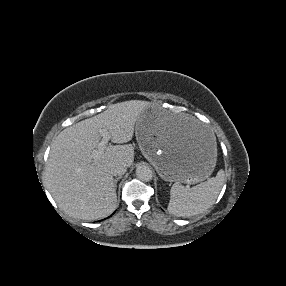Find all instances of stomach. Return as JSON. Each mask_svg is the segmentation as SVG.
<instances>
[{
	"label": "stomach",
	"mask_w": 286,
	"mask_h": 286,
	"mask_svg": "<svg viewBox=\"0 0 286 286\" xmlns=\"http://www.w3.org/2000/svg\"><path fill=\"white\" fill-rule=\"evenodd\" d=\"M135 129L142 154L163 180L196 184L212 174L217 139L197 118L176 110L162 112L150 104Z\"/></svg>",
	"instance_id": "1"
}]
</instances>
